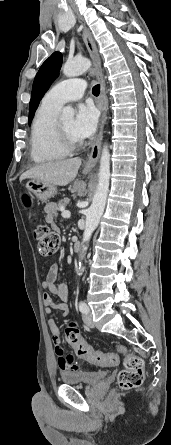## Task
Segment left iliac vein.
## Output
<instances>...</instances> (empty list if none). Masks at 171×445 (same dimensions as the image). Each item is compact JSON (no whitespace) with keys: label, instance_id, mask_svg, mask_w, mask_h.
<instances>
[{"label":"left iliac vein","instance_id":"4c4485c4","mask_svg":"<svg viewBox=\"0 0 171 445\" xmlns=\"http://www.w3.org/2000/svg\"><path fill=\"white\" fill-rule=\"evenodd\" d=\"M83 321L85 323V325H87L90 328H94V322L92 320V314L90 312V309L88 310V312L86 314L83 315Z\"/></svg>","mask_w":171,"mask_h":445}]
</instances>
